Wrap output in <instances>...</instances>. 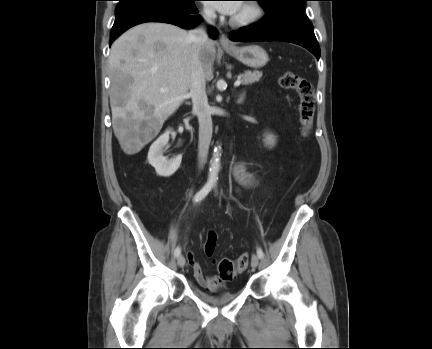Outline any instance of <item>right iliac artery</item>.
I'll return each instance as SVG.
<instances>
[{
	"label": "right iliac artery",
	"instance_id": "obj_1",
	"mask_svg": "<svg viewBox=\"0 0 432 349\" xmlns=\"http://www.w3.org/2000/svg\"><path fill=\"white\" fill-rule=\"evenodd\" d=\"M213 184L212 183H206L204 185V187L195 194L193 201L194 203H198L200 202L202 199H204L207 194L211 191ZM181 254V249L180 247H176L175 251H174V255L175 257H179Z\"/></svg>",
	"mask_w": 432,
	"mask_h": 349
}]
</instances>
